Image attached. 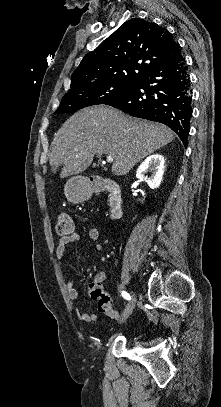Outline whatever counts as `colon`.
Listing matches in <instances>:
<instances>
[{"mask_svg":"<svg viewBox=\"0 0 221 407\" xmlns=\"http://www.w3.org/2000/svg\"><path fill=\"white\" fill-rule=\"evenodd\" d=\"M73 221L68 214H60L56 224V231L59 236H69L73 233ZM90 296L98 300V309L112 319H118L120 314L113 309L109 298L104 294L102 284L91 281L89 283Z\"/></svg>","mask_w":221,"mask_h":407,"instance_id":"5ec220e1","label":"colon"}]
</instances>
